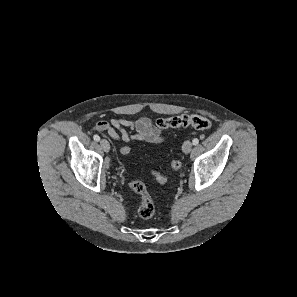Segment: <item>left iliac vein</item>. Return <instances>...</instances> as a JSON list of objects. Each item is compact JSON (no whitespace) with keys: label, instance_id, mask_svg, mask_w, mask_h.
Segmentation results:
<instances>
[{"label":"left iliac vein","instance_id":"4c4485c4","mask_svg":"<svg viewBox=\"0 0 297 297\" xmlns=\"http://www.w3.org/2000/svg\"><path fill=\"white\" fill-rule=\"evenodd\" d=\"M182 150H183V152H184L185 154L190 153V151L192 150V143H191V141L186 140V141L183 143Z\"/></svg>","mask_w":297,"mask_h":297}]
</instances>
